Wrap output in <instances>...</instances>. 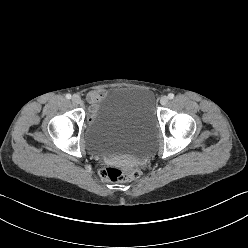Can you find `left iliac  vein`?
Here are the masks:
<instances>
[{
	"label": "left iliac vein",
	"instance_id": "obj_1",
	"mask_svg": "<svg viewBox=\"0 0 248 248\" xmlns=\"http://www.w3.org/2000/svg\"><path fill=\"white\" fill-rule=\"evenodd\" d=\"M168 101H169V99H168L167 96H162V97L160 98V103H161L162 105H166V104L168 103Z\"/></svg>",
	"mask_w": 248,
	"mask_h": 248
}]
</instances>
